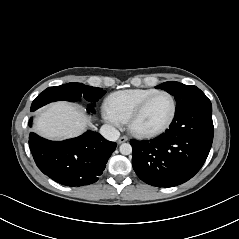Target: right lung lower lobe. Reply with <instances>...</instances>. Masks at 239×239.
Segmentation results:
<instances>
[{
    "label": "right lung lower lobe",
    "mask_w": 239,
    "mask_h": 239,
    "mask_svg": "<svg viewBox=\"0 0 239 239\" xmlns=\"http://www.w3.org/2000/svg\"><path fill=\"white\" fill-rule=\"evenodd\" d=\"M31 122L32 119L30 126ZM116 146L93 131L60 142L34 133L29 136V147L38 168L54 181L71 187L96 182Z\"/></svg>",
    "instance_id": "obj_1"
}]
</instances>
